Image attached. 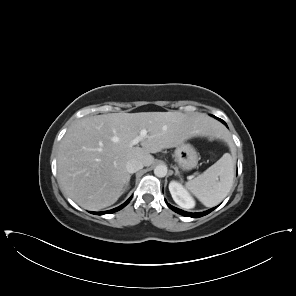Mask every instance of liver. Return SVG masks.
<instances>
[{
    "instance_id": "6515ba94",
    "label": "liver",
    "mask_w": 296,
    "mask_h": 296,
    "mask_svg": "<svg viewBox=\"0 0 296 296\" xmlns=\"http://www.w3.org/2000/svg\"><path fill=\"white\" fill-rule=\"evenodd\" d=\"M147 130L141 146L130 142ZM196 136H218L215 121L204 113H109L84 117L63 137L57 171L61 190L79 206L100 210L113 205L129 179L126 164L154 162L151 153L177 147Z\"/></svg>"
}]
</instances>
